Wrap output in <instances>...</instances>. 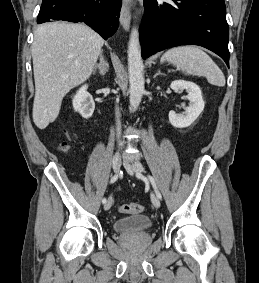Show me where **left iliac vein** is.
Masks as SVG:
<instances>
[{"label":"left iliac vein","instance_id":"1","mask_svg":"<svg viewBox=\"0 0 259 283\" xmlns=\"http://www.w3.org/2000/svg\"><path fill=\"white\" fill-rule=\"evenodd\" d=\"M124 167L127 170V172L131 175H133L134 173L137 174H141L144 172V167L141 163L139 162H124ZM151 201L152 204L154 205V207L159 208L161 203H160V199L157 197V195L155 194H151Z\"/></svg>","mask_w":259,"mask_h":283}]
</instances>
